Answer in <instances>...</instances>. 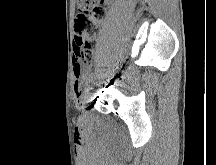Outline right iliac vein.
<instances>
[{
  "mask_svg": "<svg viewBox=\"0 0 216 165\" xmlns=\"http://www.w3.org/2000/svg\"><path fill=\"white\" fill-rule=\"evenodd\" d=\"M95 79H93L91 82H89V95H87V100H85V105H90V102H92V97L94 96V84Z\"/></svg>",
  "mask_w": 216,
  "mask_h": 165,
  "instance_id": "obj_1",
  "label": "right iliac vein"
}]
</instances>
